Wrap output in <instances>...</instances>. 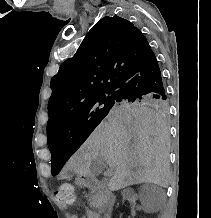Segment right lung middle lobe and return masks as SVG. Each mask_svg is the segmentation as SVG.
Returning <instances> with one entry per match:
<instances>
[{
	"instance_id": "dd1d6c3e",
	"label": "right lung middle lobe",
	"mask_w": 211,
	"mask_h": 218,
	"mask_svg": "<svg viewBox=\"0 0 211 218\" xmlns=\"http://www.w3.org/2000/svg\"><path fill=\"white\" fill-rule=\"evenodd\" d=\"M114 105H148L161 112L168 110L167 98H123L109 90L63 114L47 128L49 147L72 144L77 149ZM64 163L52 161L53 176L59 173Z\"/></svg>"
}]
</instances>
